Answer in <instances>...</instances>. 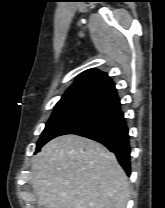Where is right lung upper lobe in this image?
<instances>
[{
	"label": "right lung upper lobe",
	"mask_w": 165,
	"mask_h": 208,
	"mask_svg": "<svg viewBox=\"0 0 165 208\" xmlns=\"http://www.w3.org/2000/svg\"><path fill=\"white\" fill-rule=\"evenodd\" d=\"M117 95L108 75L96 69L81 73L56 106H90Z\"/></svg>",
	"instance_id": "right-lung-upper-lobe-1"
}]
</instances>
